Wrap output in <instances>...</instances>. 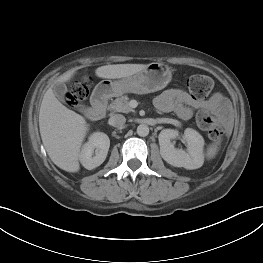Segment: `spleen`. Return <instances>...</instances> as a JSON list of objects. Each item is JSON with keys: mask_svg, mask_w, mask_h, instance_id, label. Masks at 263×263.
<instances>
[{"mask_svg": "<svg viewBox=\"0 0 263 263\" xmlns=\"http://www.w3.org/2000/svg\"><path fill=\"white\" fill-rule=\"evenodd\" d=\"M216 152H217V147H216V146H211V147L208 149V151H207V156H208L209 158H212V157L215 156Z\"/></svg>", "mask_w": 263, "mask_h": 263, "instance_id": "3e777b00", "label": "spleen"}]
</instances>
